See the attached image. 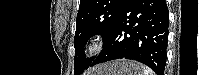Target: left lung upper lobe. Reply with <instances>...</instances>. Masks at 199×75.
I'll list each match as a JSON object with an SVG mask.
<instances>
[{
  "label": "left lung upper lobe",
  "mask_w": 199,
  "mask_h": 75,
  "mask_svg": "<svg viewBox=\"0 0 199 75\" xmlns=\"http://www.w3.org/2000/svg\"><path fill=\"white\" fill-rule=\"evenodd\" d=\"M128 0H80L74 37V75L87 69L95 57L87 59L84 46L93 35L100 34L104 44L112 34L119 14Z\"/></svg>",
  "instance_id": "obj_1"
}]
</instances>
